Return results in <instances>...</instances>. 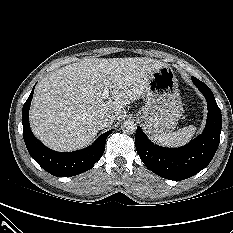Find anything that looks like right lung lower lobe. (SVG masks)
<instances>
[{
    "label": "right lung lower lobe",
    "mask_w": 233,
    "mask_h": 233,
    "mask_svg": "<svg viewBox=\"0 0 233 233\" xmlns=\"http://www.w3.org/2000/svg\"><path fill=\"white\" fill-rule=\"evenodd\" d=\"M34 90V88H33ZM33 90L23 106V138L30 156L47 172L57 177H69L83 173L99 161L105 150V142L112 130L102 134L89 147L68 153L53 151L33 135L29 124V107Z\"/></svg>",
    "instance_id": "1"
}]
</instances>
